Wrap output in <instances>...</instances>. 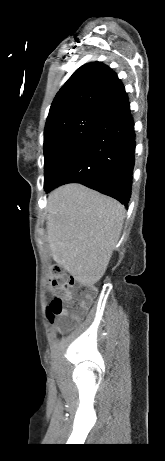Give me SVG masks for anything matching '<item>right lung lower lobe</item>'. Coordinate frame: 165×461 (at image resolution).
<instances>
[{
	"mask_svg": "<svg viewBox=\"0 0 165 461\" xmlns=\"http://www.w3.org/2000/svg\"><path fill=\"white\" fill-rule=\"evenodd\" d=\"M134 122L130 107L105 119L64 162L46 192L81 183L128 207L135 163Z\"/></svg>",
	"mask_w": 165,
	"mask_h": 461,
	"instance_id": "98d812e1",
	"label": "right lung lower lobe"
}]
</instances>
